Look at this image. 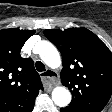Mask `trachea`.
<instances>
[{
    "mask_svg": "<svg viewBox=\"0 0 112 112\" xmlns=\"http://www.w3.org/2000/svg\"><path fill=\"white\" fill-rule=\"evenodd\" d=\"M35 66H36V70L38 72L45 71V66H44V64L41 61H37L36 64H35Z\"/></svg>",
    "mask_w": 112,
    "mask_h": 112,
    "instance_id": "1",
    "label": "trachea"
}]
</instances>
